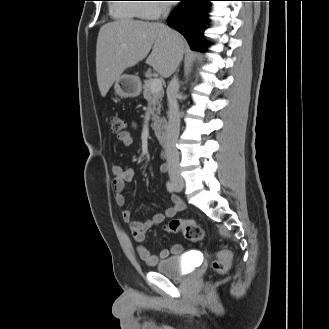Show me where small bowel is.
I'll list each match as a JSON object with an SVG mask.
<instances>
[{"instance_id": "1", "label": "small bowel", "mask_w": 329, "mask_h": 329, "mask_svg": "<svg viewBox=\"0 0 329 329\" xmlns=\"http://www.w3.org/2000/svg\"><path fill=\"white\" fill-rule=\"evenodd\" d=\"M118 140L121 144L129 146L133 142V137L130 132L125 131L118 135ZM159 169L161 172H166V164H161ZM111 170L113 174L112 184L115 191V202L119 207H122L121 217L123 221L129 224L130 232L135 241L138 243L136 246V252L139 258L146 262L148 265H155L157 261L168 257L170 254L181 253L184 249L181 244H174L171 247L170 251L167 249H161L156 255L151 254L149 249L143 244V241L145 240V233L149 229L156 225H159L166 218L174 217L178 212L183 209V203L180 198L175 195H172V206L166 209L164 213H155L151 218L143 222L133 221L131 211L127 208H124L126 204V196L124 194V189L126 187V184L134 179L136 171L133 168L125 167L121 164H116L112 166Z\"/></svg>"}]
</instances>
